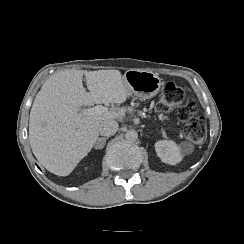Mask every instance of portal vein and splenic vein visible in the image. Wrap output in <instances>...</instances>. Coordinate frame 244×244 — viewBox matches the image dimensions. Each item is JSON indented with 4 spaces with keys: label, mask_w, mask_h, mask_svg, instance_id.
<instances>
[{
    "label": "portal vein and splenic vein",
    "mask_w": 244,
    "mask_h": 244,
    "mask_svg": "<svg viewBox=\"0 0 244 244\" xmlns=\"http://www.w3.org/2000/svg\"><path fill=\"white\" fill-rule=\"evenodd\" d=\"M106 111V107L102 106V105H97L93 108H88L85 109L84 112L88 113V114H96V113H103Z\"/></svg>",
    "instance_id": "18ae733b"
}]
</instances>
